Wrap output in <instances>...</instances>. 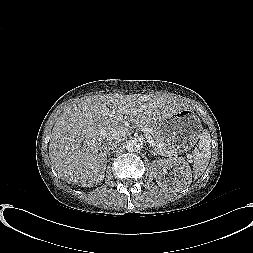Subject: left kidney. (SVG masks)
<instances>
[{"label": "left kidney", "mask_w": 253, "mask_h": 253, "mask_svg": "<svg viewBox=\"0 0 253 253\" xmlns=\"http://www.w3.org/2000/svg\"><path fill=\"white\" fill-rule=\"evenodd\" d=\"M156 181L164 187H173L177 190L186 188L192 182V173L189 164L183 159L156 160L152 163ZM173 168L174 177L165 178L167 169Z\"/></svg>", "instance_id": "left-kidney-1"}]
</instances>
